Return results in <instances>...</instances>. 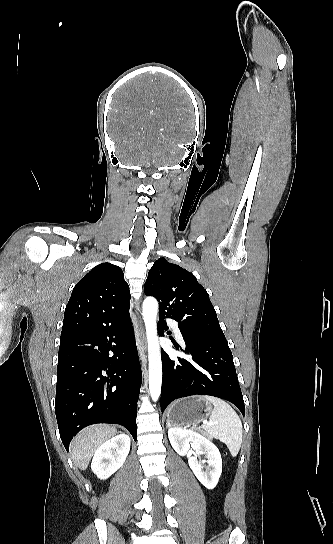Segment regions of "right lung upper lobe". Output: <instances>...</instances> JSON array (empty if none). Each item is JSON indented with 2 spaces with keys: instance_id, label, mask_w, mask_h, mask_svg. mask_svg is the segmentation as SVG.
I'll list each match as a JSON object with an SVG mask.
<instances>
[{
  "instance_id": "1",
  "label": "right lung upper lobe",
  "mask_w": 333,
  "mask_h": 544,
  "mask_svg": "<svg viewBox=\"0 0 333 544\" xmlns=\"http://www.w3.org/2000/svg\"><path fill=\"white\" fill-rule=\"evenodd\" d=\"M130 292L120 267L102 263L74 287L65 309L61 340L118 323L129 314Z\"/></svg>"
}]
</instances>
